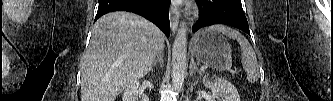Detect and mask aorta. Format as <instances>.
<instances>
[{"mask_svg":"<svg viewBox=\"0 0 333 101\" xmlns=\"http://www.w3.org/2000/svg\"><path fill=\"white\" fill-rule=\"evenodd\" d=\"M187 57V29L182 25L175 37L172 49V81L177 90L184 84Z\"/></svg>","mask_w":333,"mask_h":101,"instance_id":"aorta-1","label":"aorta"}]
</instances>
